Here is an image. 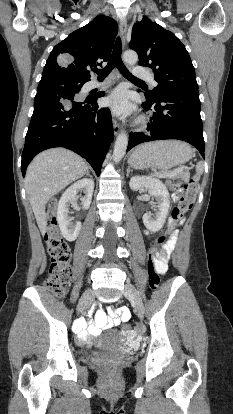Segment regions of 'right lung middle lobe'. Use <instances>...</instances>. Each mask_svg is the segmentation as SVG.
Masks as SVG:
<instances>
[{
  "label": "right lung middle lobe",
  "mask_w": 233,
  "mask_h": 414,
  "mask_svg": "<svg viewBox=\"0 0 233 414\" xmlns=\"http://www.w3.org/2000/svg\"><path fill=\"white\" fill-rule=\"evenodd\" d=\"M83 82L64 78H42L37 92H53L58 95L75 96L79 93Z\"/></svg>",
  "instance_id": "1"
}]
</instances>
